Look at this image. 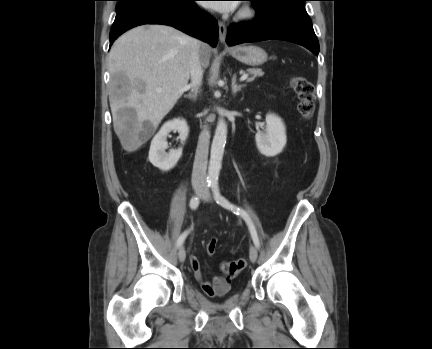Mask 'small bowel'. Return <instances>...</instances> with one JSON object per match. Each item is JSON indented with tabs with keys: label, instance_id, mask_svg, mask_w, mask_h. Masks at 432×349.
<instances>
[{
	"label": "small bowel",
	"instance_id": "1",
	"mask_svg": "<svg viewBox=\"0 0 432 349\" xmlns=\"http://www.w3.org/2000/svg\"><path fill=\"white\" fill-rule=\"evenodd\" d=\"M190 264L196 279L201 283L202 289L208 294H217L227 290L230 286V279L216 276L211 282L204 281L200 263L195 256H190Z\"/></svg>",
	"mask_w": 432,
	"mask_h": 349
}]
</instances>
